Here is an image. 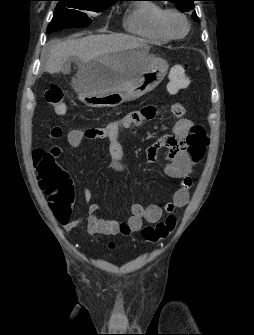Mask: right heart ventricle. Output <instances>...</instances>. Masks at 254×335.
<instances>
[{"label":"right heart ventricle","instance_id":"obj_1","mask_svg":"<svg viewBox=\"0 0 254 335\" xmlns=\"http://www.w3.org/2000/svg\"><path fill=\"white\" fill-rule=\"evenodd\" d=\"M162 7L150 1L132 4L126 10L123 18L125 30L145 41L163 44L169 41L160 33L157 27V18Z\"/></svg>","mask_w":254,"mask_h":335}]
</instances>
